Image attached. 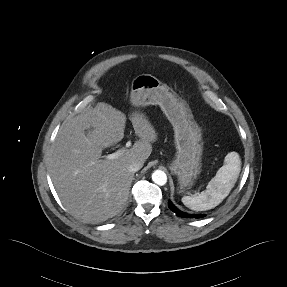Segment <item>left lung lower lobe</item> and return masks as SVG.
Returning <instances> with one entry per match:
<instances>
[{
  "instance_id": "left-lung-lower-lobe-1",
  "label": "left lung lower lobe",
  "mask_w": 287,
  "mask_h": 287,
  "mask_svg": "<svg viewBox=\"0 0 287 287\" xmlns=\"http://www.w3.org/2000/svg\"><path fill=\"white\" fill-rule=\"evenodd\" d=\"M168 206L171 211H173L177 216L182 218H202L205 217L203 214H188L186 212L180 211L170 200L168 201Z\"/></svg>"
}]
</instances>
